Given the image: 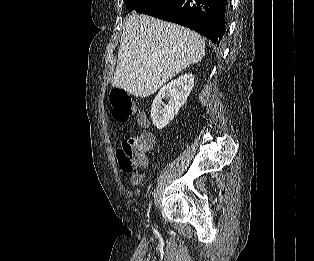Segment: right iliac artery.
<instances>
[{
  "label": "right iliac artery",
  "mask_w": 314,
  "mask_h": 261,
  "mask_svg": "<svg viewBox=\"0 0 314 261\" xmlns=\"http://www.w3.org/2000/svg\"><path fill=\"white\" fill-rule=\"evenodd\" d=\"M150 207H151V203L149 204V209H148V213L150 212Z\"/></svg>",
  "instance_id": "right-iliac-artery-1"
}]
</instances>
